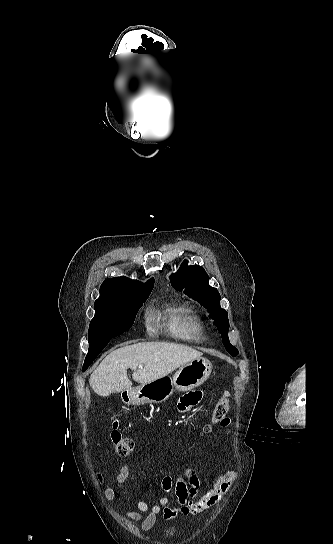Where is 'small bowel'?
Listing matches in <instances>:
<instances>
[{"mask_svg": "<svg viewBox=\"0 0 333 544\" xmlns=\"http://www.w3.org/2000/svg\"><path fill=\"white\" fill-rule=\"evenodd\" d=\"M202 400V391L195 390L183 395L177 404V409L181 414L193 412ZM229 420L224 418L221 421L223 427L227 426ZM131 467L124 464L115 479V482L104 491L105 498L112 501L118 488L129 478ZM237 474L235 471H227L218 475L211 486L201 492L200 480L195 471L186 470L184 475L178 477L175 481L170 476H166L162 481L164 491L169 492L174 489L177 506H170V500L167 497L160 498L159 502L149 505L145 501L136 503L137 510H123L122 515L133 521H140L143 530H149L156 522L157 515L162 513L165 519H171L178 515H197L205 512L214 506L229 490Z\"/></svg>", "mask_w": 333, "mask_h": 544, "instance_id": "c3829d8e", "label": "small bowel"}]
</instances>
